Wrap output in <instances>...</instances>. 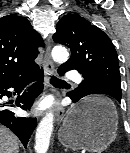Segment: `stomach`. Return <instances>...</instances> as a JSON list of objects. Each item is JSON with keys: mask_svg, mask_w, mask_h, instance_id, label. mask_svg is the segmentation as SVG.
<instances>
[{"mask_svg": "<svg viewBox=\"0 0 130 153\" xmlns=\"http://www.w3.org/2000/svg\"><path fill=\"white\" fill-rule=\"evenodd\" d=\"M117 129L114 104L105 97H88L67 112L58 138L67 148L101 153L115 139Z\"/></svg>", "mask_w": 130, "mask_h": 153, "instance_id": "obj_1", "label": "stomach"}]
</instances>
